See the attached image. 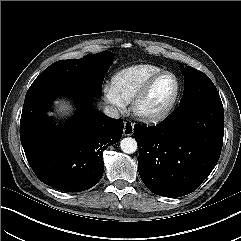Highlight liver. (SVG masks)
I'll list each match as a JSON object with an SVG mask.
<instances>
[{
  "instance_id": "6515ba94",
  "label": "liver",
  "mask_w": 241,
  "mask_h": 241,
  "mask_svg": "<svg viewBox=\"0 0 241 241\" xmlns=\"http://www.w3.org/2000/svg\"><path fill=\"white\" fill-rule=\"evenodd\" d=\"M56 111L61 115H67L72 111V106L69 102L57 100L55 101ZM52 114V113H50Z\"/></svg>"
}]
</instances>
